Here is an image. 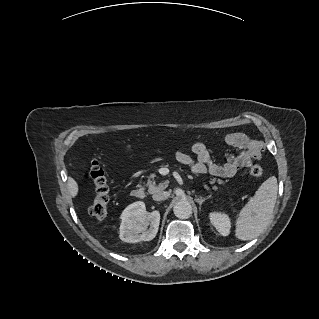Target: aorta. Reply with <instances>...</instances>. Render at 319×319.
I'll list each match as a JSON object with an SVG mask.
<instances>
[{
  "label": "aorta",
  "instance_id": "aorta-1",
  "mask_svg": "<svg viewBox=\"0 0 319 319\" xmlns=\"http://www.w3.org/2000/svg\"><path fill=\"white\" fill-rule=\"evenodd\" d=\"M174 215L179 219H187L192 214V206L187 200H179L173 207Z\"/></svg>",
  "mask_w": 319,
  "mask_h": 319
}]
</instances>
